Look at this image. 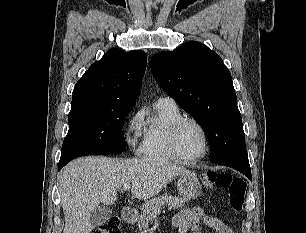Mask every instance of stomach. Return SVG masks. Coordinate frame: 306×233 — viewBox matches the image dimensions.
I'll list each match as a JSON object with an SVG mask.
<instances>
[{"mask_svg":"<svg viewBox=\"0 0 306 233\" xmlns=\"http://www.w3.org/2000/svg\"><path fill=\"white\" fill-rule=\"evenodd\" d=\"M177 190L185 200L197 198L201 193V185L197 175L193 172L180 174Z\"/></svg>","mask_w":306,"mask_h":233,"instance_id":"0dacf381","label":"stomach"}]
</instances>
